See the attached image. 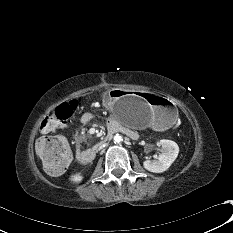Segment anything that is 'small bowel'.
Segmentation results:
<instances>
[{
  "label": "small bowel",
  "instance_id": "small-bowel-1",
  "mask_svg": "<svg viewBox=\"0 0 233 233\" xmlns=\"http://www.w3.org/2000/svg\"><path fill=\"white\" fill-rule=\"evenodd\" d=\"M93 117H94V116H93V113L87 111V112H84V113L81 115L80 120H81V122H82L83 124H87V123H89V122L93 119ZM112 123H115V122H114V121H111L110 124H112Z\"/></svg>",
  "mask_w": 233,
  "mask_h": 233
}]
</instances>
